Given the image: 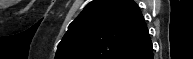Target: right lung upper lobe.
<instances>
[{
  "mask_svg": "<svg viewBox=\"0 0 193 59\" xmlns=\"http://www.w3.org/2000/svg\"><path fill=\"white\" fill-rule=\"evenodd\" d=\"M149 41L133 0H94L69 25L55 59H126Z\"/></svg>",
  "mask_w": 193,
  "mask_h": 59,
  "instance_id": "1",
  "label": "right lung upper lobe"
}]
</instances>
